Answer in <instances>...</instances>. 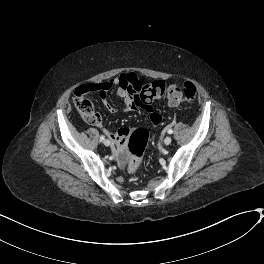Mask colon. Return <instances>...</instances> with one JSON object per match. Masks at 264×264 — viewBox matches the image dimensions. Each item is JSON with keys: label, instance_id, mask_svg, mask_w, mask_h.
Instances as JSON below:
<instances>
[{"label": "colon", "instance_id": "5ec220e1", "mask_svg": "<svg viewBox=\"0 0 264 264\" xmlns=\"http://www.w3.org/2000/svg\"><path fill=\"white\" fill-rule=\"evenodd\" d=\"M97 89V86H80L73 92V103L82 118L90 125H97L101 118L95 111L93 104L86 95ZM197 94L195 85L191 81H185L182 86L165 85L159 82L142 84L134 96L135 104L149 107L158 98H166L169 102L179 104L192 101ZM149 141V134L144 129H134L128 139L127 149L130 158L127 161V171L135 173L139 170L145 147Z\"/></svg>", "mask_w": 264, "mask_h": 264}]
</instances>
